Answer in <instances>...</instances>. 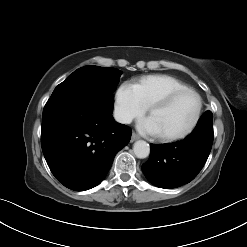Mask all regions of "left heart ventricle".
Wrapping results in <instances>:
<instances>
[{
    "mask_svg": "<svg viewBox=\"0 0 247 247\" xmlns=\"http://www.w3.org/2000/svg\"><path fill=\"white\" fill-rule=\"evenodd\" d=\"M198 108V99L191 93L177 97L168 107L152 111L159 135L172 136L186 130L192 123Z\"/></svg>",
    "mask_w": 247,
    "mask_h": 247,
    "instance_id": "obj_1",
    "label": "left heart ventricle"
}]
</instances>
